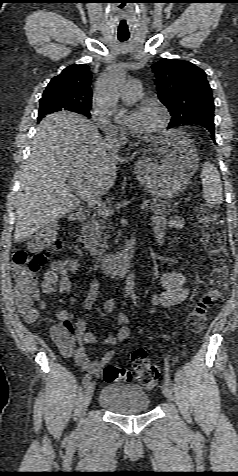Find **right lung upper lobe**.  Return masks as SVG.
Listing matches in <instances>:
<instances>
[{"instance_id":"1","label":"right lung upper lobe","mask_w":238,"mask_h":476,"mask_svg":"<svg viewBox=\"0 0 238 476\" xmlns=\"http://www.w3.org/2000/svg\"><path fill=\"white\" fill-rule=\"evenodd\" d=\"M91 73L86 64L70 65L52 78L40 102L57 104L61 109L80 112L91 108Z\"/></svg>"}]
</instances>
